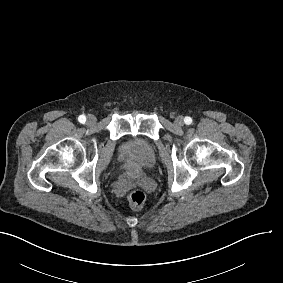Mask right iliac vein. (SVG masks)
Wrapping results in <instances>:
<instances>
[{
	"mask_svg": "<svg viewBox=\"0 0 283 283\" xmlns=\"http://www.w3.org/2000/svg\"><path fill=\"white\" fill-rule=\"evenodd\" d=\"M86 122L88 125H93L96 123V118L93 115H89Z\"/></svg>",
	"mask_w": 283,
	"mask_h": 283,
	"instance_id": "obj_1",
	"label": "right iliac vein"
}]
</instances>
